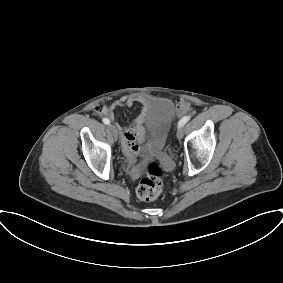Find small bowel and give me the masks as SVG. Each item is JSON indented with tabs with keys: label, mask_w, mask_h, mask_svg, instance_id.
<instances>
[{
	"label": "small bowel",
	"mask_w": 283,
	"mask_h": 283,
	"mask_svg": "<svg viewBox=\"0 0 283 283\" xmlns=\"http://www.w3.org/2000/svg\"><path fill=\"white\" fill-rule=\"evenodd\" d=\"M136 103H140L143 106L141 113L132 122L131 125L127 127L116 126L120 131L121 142L126 155V165L130 170L132 177H137L139 175V169L133 166L135 156L143 150V145L145 142V130L144 123L147 120L149 112V98L140 93H134L128 96H124L119 100L113 102L110 106L104 108L102 113L113 119L114 110L120 106L132 107ZM189 109V104L180 100L177 104V114L179 116L184 115Z\"/></svg>",
	"instance_id": "1"
}]
</instances>
